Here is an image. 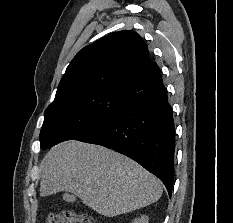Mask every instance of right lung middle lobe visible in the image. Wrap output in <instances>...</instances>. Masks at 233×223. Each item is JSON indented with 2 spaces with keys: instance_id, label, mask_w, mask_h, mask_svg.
Here are the masks:
<instances>
[{
  "instance_id": "obj_1",
  "label": "right lung middle lobe",
  "mask_w": 233,
  "mask_h": 223,
  "mask_svg": "<svg viewBox=\"0 0 233 223\" xmlns=\"http://www.w3.org/2000/svg\"><path fill=\"white\" fill-rule=\"evenodd\" d=\"M121 89L97 88L56 98L45 110L42 149L82 136L111 119L122 108Z\"/></svg>"
}]
</instances>
